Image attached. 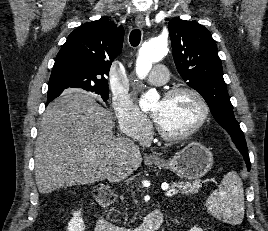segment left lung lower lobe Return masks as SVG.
<instances>
[{
	"label": "left lung lower lobe",
	"mask_w": 268,
	"mask_h": 231,
	"mask_svg": "<svg viewBox=\"0 0 268 231\" xmlns=\"http://www.w3.org/2000/svg\"><path fill=\"white\" fill-rule=\"evenodd\" d=\"M240 152L244 157V160L246 162L248 171H250V160H249V156H248V150L247 151L246 150H241Z\"/></svg>",
	"instance_id": "obj_1"
}]
</instances>
